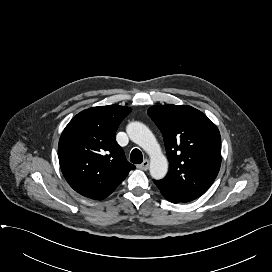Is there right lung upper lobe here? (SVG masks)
Here are the masks:
<instances>
[{
  "label": "right lung upper lobe",
  "mask_w": 272,
  "mask_h": 272,
  "mask_svg": "<svg viewBox=\"0 0 272 272\" xmlns=\"http://www.w3.org/2000/svg\"><path fill=\"white\" fill-rule=\"evenodd\" d=\"M131 108L99 106L78 113L59 140L58 157L68 184L79 194L101 200L110 195L135 166L115 140Z\"/></svg>",
  "instance_id": "right-lung-upper-lobe-1"
}]
</instances>
